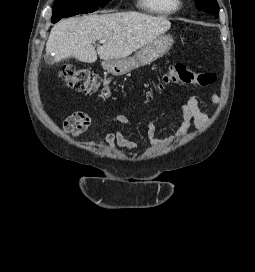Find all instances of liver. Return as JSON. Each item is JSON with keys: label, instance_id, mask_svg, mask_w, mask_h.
<instances>
[{"label": "liver", "instance_id": "6515ba94", "mask_svg": "<svg viewBox=\"0 0 255 272\" xmlns=\"http://www.w3.org/2000/svg\"><path fill=\"white\" fill-rule=\"evenodd\" d=\"M171 27L165 17L128 11L90 14L71 17L58 22L46 43V54L54 61L74 56L86 63H94L97 55L104 61L122 59L152 42ZM105 40L95 50V41Z\"/></svg>", "mask_w": 255, "mask_h": 272}]
</instances>
